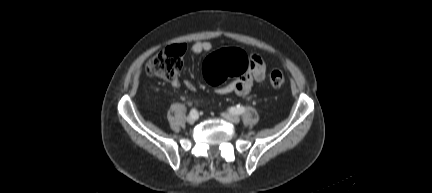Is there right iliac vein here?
Instances as JSON below:
<instances>
[{
  "label": "right iliac vein",
  "instance_id": "63e3f726",
  "mask_svg": "<svg viewBox=\"0 0 432 193\" xmlns=\"http://www.w3.org/2000/svg\"><path fill=\"white\" fill-rule=\"evenodd\" d=\"M197 119H198V115H196V116H188L187 117V122L189 124H194Z\"/></svg>",
  "mask_w": 432,
  "mask_h": 193
}]
</instances>
